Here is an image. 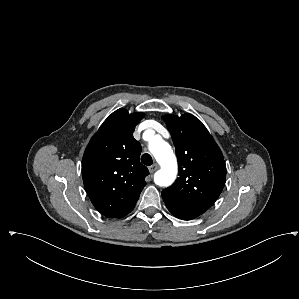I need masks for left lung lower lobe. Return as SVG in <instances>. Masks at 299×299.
Masks as SVG:
<instances>
[{"mask_svg": "<svg viewBox=\"0 0 299 299\" xmlns=\"http://www.w3.org/2000/svg\"><path fill=\"white\" fill-rule=\"evenodd\" d=\"M162 197H163V200H164L168 210L174 216H176L180 219L191 220V219H194V218L198 217L199 215H201L200 213H198L196 211H193V210L185 207L184 205L180 204L179 202L174 200L169 195H166V194L162 193Z\"/></svg>", "mask_w": 299, "mask_h": 299, "instance_id": "obj_1", "label": "left lung lower lobe"}]
</instances>
